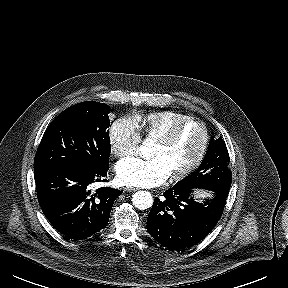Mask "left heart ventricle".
Here are the masks:
<instances>
[{
	"mask_svg": "<svg viewBox=\"0 0 288 288\" xmlns=\"http://www.w3.org/2000/svg\"><path fill=\"white\" fill-rule=\"evenodd\" d=\"M203 141L202 129L195 123L187 124L168 145L154 143L152 156H160L165 161L170 174L189 165L197 156Z\"/></svg>",
	"mask_w": 288,
	"mask_h": 288,
	"instance_id": "left-heart-ventricle-1",
	"label": "left heart ventricle"
}]
</instances>
